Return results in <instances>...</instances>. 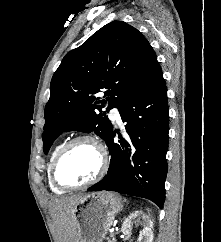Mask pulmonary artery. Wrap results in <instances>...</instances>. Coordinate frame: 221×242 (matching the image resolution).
Listing matches in <instances>:
<instances>
[{
	"instance_id": "pulmonary-artery-1",
	"label": "pulmonary artery",
	"mask_w": 221,
	"mask_h": 242,
	"mask_svg": "<svg viewBox=\"0 0 221 242\" xmlns=\"http://www.w3.org/2000/svg\"><path fill=\"white\" fill-rule=\"evenodd\" d=\"M110 117L119 123L121 122L120 113L117 107L112 108V110L110 111Z\"/></svg>"
}]
</instances>
